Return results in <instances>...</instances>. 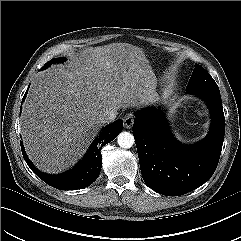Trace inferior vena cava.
<instances>
[{"instance_id":"1","label":"inferior vena cava","mask_w":241,"mask_h":241,"mask_svg":"<svg viewBox=\"0 0 241 241\" xmlns=\"http://www.w3.org/2000/svg\"><path fill=\"white\" fill-rule=\"evenodd\" d=\"M117 111L115 110H111V111H107L106 113H104L100 118V122L102 124H107V123H110L112 121L115 120L116 116H117Z\"/></svg>"}]
</instances>
